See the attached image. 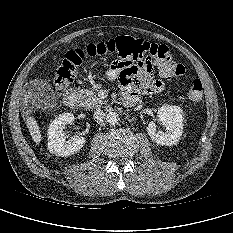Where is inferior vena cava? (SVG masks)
Here are the masks:
<instances>
[{
	"instance_id": "obj_1",
	"label": "inferior vena cava",
	"mask_w": 233,
	"mask_h": 233,
	"mask_svg": "<svg viewBox=\"0 0 233 233\" xmlns=\"http://www.w3.org/2000/svg\"><path fill=\"white\" fill-rule=\"evenodd\" d=\"M106 118V114L101 109H96L94 112V119L97 123H103Z\"/></svg>"
}]
</instances>
